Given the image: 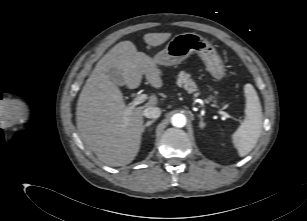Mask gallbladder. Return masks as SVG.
I'll list each match as a JSON object with an SVG mask.
<instances>
[{
    "mask_svg": "<svg viewBox=\"0 0 307 221\" xmlns=\"http://www.w3.org/2000/svg\"><path fill=\"white\" fill-rule=\"evenodd\" d=\"M108 75H109V78L110 80L117 84V85H123L124 84V80H123V77L120 73L119 70L117 69H111L109 72H108Z\"/></svg>",
    "mask_w": 307,
    "mask_h": 221,
    "instance_id": "1",
    "label": "gallbladder"
}]
</instances>
